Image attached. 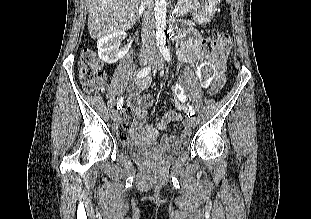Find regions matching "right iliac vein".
Returning a JSON list of instances; mask_svg holds the SVG:
<instances>
[{
	"label": "right iliac vein",
	"instance_id": "obj_1",
	"mask_svg": "<svg viewBox=\"0 0 311 219\" xmlns=\"http://www.w3.org/2000/svg\"><path fill=\"white\" fill-rule=\"evenodd\" d=\"M151 61V57L147 55H141L139 58L140 65L144 66ZM112 120L116 122L118 120V111L114 110L112 112Z\"/></svg>",
	"mask_w": 311,
	"mask_h": 219
}]
</instances>
